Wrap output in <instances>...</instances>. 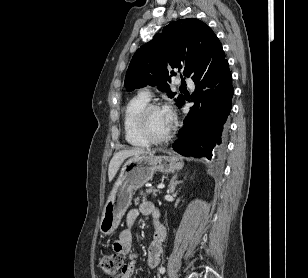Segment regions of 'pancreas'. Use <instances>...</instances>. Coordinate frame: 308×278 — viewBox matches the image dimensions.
<instances>
[{
    "label": "pancreas",
    "mask_w": 308,
    "mask_h": 278,
    "mask_svg": "<svg viewBox=\"0 0 308 278\" xmlns=\"http://www.w3.org/2000/svg\"><path fill=\"white\" fill-rule=\"evenodd\" d=\"M156 192H157L156 190L147 187L145 190H141L139 192V195H141V196H143V198H145L150 193H153V195H155ZM138 201H139V197L135 198V203L136 204L138 203Z\"/></svg>",
    "instance_id": "1"
}]
</instances>
